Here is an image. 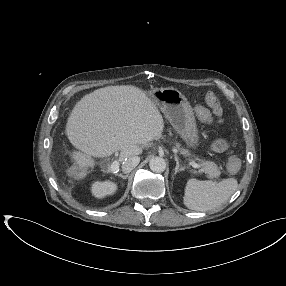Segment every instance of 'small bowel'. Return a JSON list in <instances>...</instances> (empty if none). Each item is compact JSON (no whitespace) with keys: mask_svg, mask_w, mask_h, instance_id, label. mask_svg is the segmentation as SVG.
<instances>
[{"mask_svg":"<svg viewBox=\"0 0 286 286\" xmlns=\"http://www.w3.org/2000/svg\"><path fill=\"white\" fill-rule=\"evenodd\" d=\"M204 109L203 107H198L197 108V113L199 114V111ZM218 118L221 116V111L214 113ZM226 147V141L223 139H218L212 144V149L216 152H221L225 149Z\"/></svg>","mask_w":286,"mask_h":286,"instance_id":"1","label":"small bowel"}]
</instances>
